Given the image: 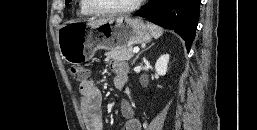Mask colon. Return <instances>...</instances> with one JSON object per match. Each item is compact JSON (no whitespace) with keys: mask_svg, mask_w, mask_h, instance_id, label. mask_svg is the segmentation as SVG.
I'll return each instance as SVG.
<instances>
[{"mask_svg":"<svg viewBox=\"0 0 257 130\" xmlns=\"http://www.w3.org/2000/svg\"><path fill=\"white\" fill-rule=\"evenodd\" d=\"M69 71L71 73V75L78 81L82 82L84 80L87 79L88 76V72L87 70L82 67V66H78V65H71L69 67Z\"/></svg>","mask_w":257,"mask_h":130,"instance_id":"1","label":"colon"}]
</instances>
